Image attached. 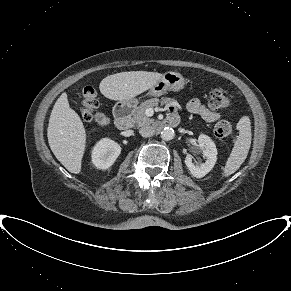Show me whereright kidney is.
Instances as JSON below:
<instances>
[{
    "label": "right kidney",
    "mask_w": 291,
    "mask_h": 291,
    "mask_svg": "<svg viewBox=\"0 0 291 291\" xmlns=\"http://www.w3.org/2000/svg\"><path fill=\"white\" fill-rule=\"evenodd\" d=\"M121 147L114 141L104 138L92 150V162L99 169H107L113 165Z\"/></svg>",
    "instance_id": "ca27d5eb"
}]
</instances>
